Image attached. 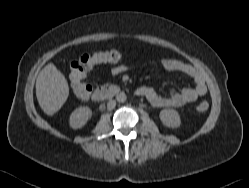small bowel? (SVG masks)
Returning <instances> with one entry per match:
<instances>
[{
  "label": "small bowel",
  "mask_w": 249,
  "mask_h": 188,
  "mask_svg": "<svg viewBox=\"0 0 249 188\" xmlns=\"http://www.w3.org/2000/svg\"><path fill=\"white\" fill-rule=\"evenodd\" d=\"M161 65L167 71L180 72L190 77L194 82V86L184 88L181 91L172 88L166 96L160 95L150 86L137 88L136 94L145 97L153 107H182L187 103L196 101L207 93V86L202 75L192 65L173 58L163 59ZM125 70L126 65L118 64L113 68V73L119 74Z\"/></svg>",
  "instance_id": "small-bowel-1"
}]
</instances>
